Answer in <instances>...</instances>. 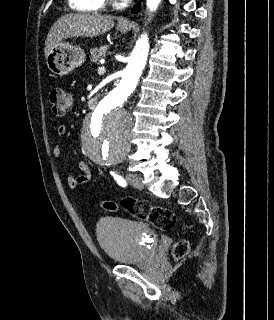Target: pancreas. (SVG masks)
Here are the masks:
<instances>
[{
	"label": "pancreas",
	"mask_w": 274,
	"mask_h": 320,
	"mask_svg": "<svg viewBox=\"0 0 274 320\" xmlns=\"http://www.w3.org/2000/svg\"><path fill=\"white\" fill-rule=\"evenodd\" d=\"M107 50L108 46H100V48H93V50H90L92 62H99L101 58H105Z\"/></svg>",
	"instance_id": "pancreas-1"
}]
</instances>
